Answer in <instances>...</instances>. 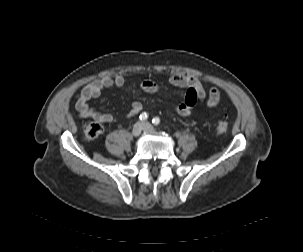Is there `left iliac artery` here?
Returning <instances> with one entry per match:
<instances>
[{
    "label": "left iliac artery",
    "mask_w": 303,
    "mask_h": 252,
    "mask_svg": "<svg viewBox=\"0 0 303 252\" xmlns=\"http://www.w3.org/2000/svg\"><path fill=\"white\" fill-rule=\"evenodd\" d=\"M152 123H153L154 125H159V123H160L159 117H154V118L152 119Z\"/></svg>",
    "instance_id": "obj_1"
}]
</instances>
